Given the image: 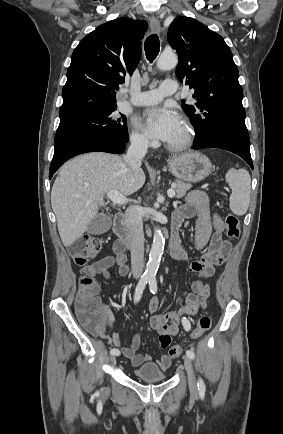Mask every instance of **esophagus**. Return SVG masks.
Masks as SVG:
<instances>
[{"instance_id":"34e87169","label":"esophagus","mask_w":283,"mask_h":434,"mask_svg":"<svg viewBox=\"0 0 283 434\" xmlns=\"http://www.w3.org/2000/svg\"><path fill=\"white\" fill-rule=\"evenodd\" d=\"M150 25H151L152 30H153L155 33H160L161 26H160V21H159L158 18H156V17H151V18H150Z\"/></svg>"}]
</instances>
